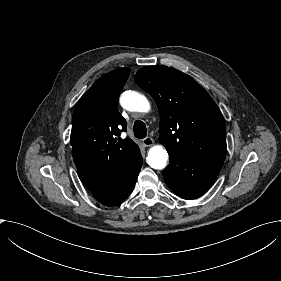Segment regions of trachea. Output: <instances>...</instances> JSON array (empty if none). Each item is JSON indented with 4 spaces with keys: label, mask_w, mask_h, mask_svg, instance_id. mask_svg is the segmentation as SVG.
<instances>
[{
    "label": "trachea",
    "mask_w": 281,
    "mask_h": 281,
    "mask_svg": "<svg viewBox=\"0 0 281 281\" xmlns=\"http://www.w3.org/2000/svg\"><path fill=\"white\" fill-rule=\"evenodd\" d=\"M134 136L138 139H143L147 135V128L144 122L136 121L133 126Z\"/></svg>",
    "instance_id": "1"
}]
</instances>
